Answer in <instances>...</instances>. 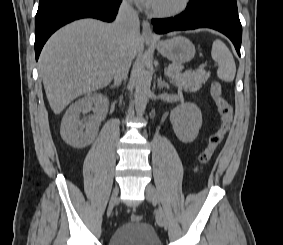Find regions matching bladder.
Here are the masks:
<instances>
[{
    "mask_svg": "<svg viewBox=\"0 0 283 245\" xmlns=\"http://www.w3.org/2000/svg\"><path fill=\"white\" fill-rule=\"evenodd\" d=\"M108 245H162L155 229L146 222L124 223L111 234Z\"/></svg>",
    "mask_w": 283,
    "mask_h": 245,
    "instance_id": "obj_1",
    "label": "bladder"
}]
</instances>
